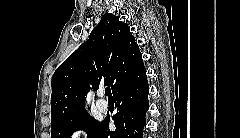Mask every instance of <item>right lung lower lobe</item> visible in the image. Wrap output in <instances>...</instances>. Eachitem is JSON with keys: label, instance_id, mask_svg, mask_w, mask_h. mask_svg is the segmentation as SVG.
I'll return each instance as SVG.
<instances>
[{"label": "right lung lower lobe", "instance_id": "right-lung-lower-lobe-1", "mask_svg": "<svg viewBox=\"0 0 240 138\" xmlns=\"http://www.w3.org/2000/svg\"><path fill=\"white\" fill-rule=\"evenodd\" d=\"M149 86L146 73L121 87L115 94L117 113L114 115L116 130L108 129L109 121H102L94 138H143L145 114L149 108Z\"/></svg>", "mask_w": 240, "mask_h": 138}]
</instances>
